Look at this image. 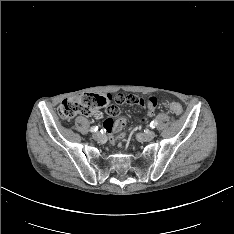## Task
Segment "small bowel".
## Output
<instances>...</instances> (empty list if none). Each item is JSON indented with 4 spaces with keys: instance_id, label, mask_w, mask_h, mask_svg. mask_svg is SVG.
<instances>
[{
    "instance_id": "c3829d8e",
    "label": "small bowel",
    "mask_w": 234,
    "mask_h": 234,
    "mask_svg": "<svg viewBox=\"0 0 234 234\" xmlns=\"http://www.w3.org/2000/svg\"><path fill=\"white\" fill-rule=\"evenodd\" d=\"M113 101L114 103H111V97L104 94L97 96L94 100V103L97 107H103L102 112L105 116H112L113 119H117L116 121L107 119L104 123L105 129L111 135L112 142H115L119 138L121 130L126 125V118H119L120 110L118 107H122L123 105H138L142 107H148L147 114L148 116H152L154 113V108L158 105L156 97L150 95L145 97L138 96L133 92L128 94L119 93L114 96Z\"/></svg>"
}]
</instances>
